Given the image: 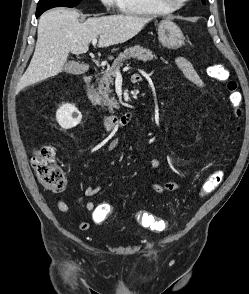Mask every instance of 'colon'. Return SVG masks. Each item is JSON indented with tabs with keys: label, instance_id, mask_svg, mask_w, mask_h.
<instances>
[{
	"label": "colon",
	"instance_id": "5ec220e1",
	"mask_svg": "<svg viewBox=\"0 0 249 294\" xmlns=\"http://www.w3.org/2000/svg\"><path fill=\"white\" fill-rule=\"evenodd\" d=\"M209 76L214 79L225 82L228 90V100L233 108L234 116L239 119L242 115V96L237 89L236 83L229 79L224 69L216 64L207 68ZM32 167L34 169L38 182L46 189L52 191L62 190L67 185V177L63 170L55 162L54 150L49 146H42L34 151L32 157ZM223 172L215 171L209 175L202 185L200 194L202 196L213 192L223 180ZM111 206H107V213H111ZM138 223L152 231H163L166 228V222L148 212H139L136 215Z\"/></svg>",
	"mask_w": 249,
	"mask_h": 294
}]
</instances>
